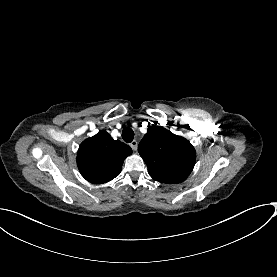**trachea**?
Masks as SVG:
<instances>
[{"mask_svg": "<svg viewBox=\"0 0 277 277\" xmlns=\"http://www.w3.org/2000/svg\"><path fill=\"white\" fill-rule=\"evenodd\" d=\"M122 138L126 143L132 142L134 138V131L131 127H125L122 131Z\"/></svg>", "mask_w": 277, "mask_h": 277, "instance_id": "3493384b", "label": "trachea"}]
</instances>
